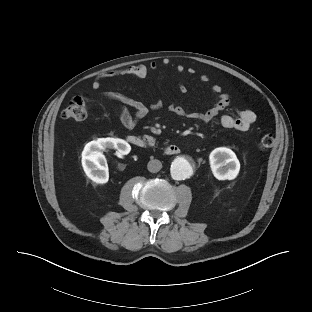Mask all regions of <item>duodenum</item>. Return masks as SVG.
Listing matches in <instances>:
<instances>
[{
    "label": "duodenum",
    "mask_w": 312,
    "mask_h": 312,
    "mask_svg": "<svg viewBox=\"0 0 312 312\" xmlns=\"http://www.w3.org/2000/svg\"><path fill=\"white\" fill-rule=\"evenodd\" d=\"M127 142L138 148H147L151 145V140L146 137L138 136V135H129L127 137ZM180 146L176 144L168 145L165 148V153L168 155H176L180 153Z\"/></svg>",
    "instance_id": "1"
}]
</instances>
